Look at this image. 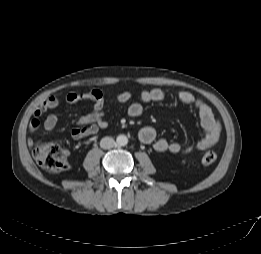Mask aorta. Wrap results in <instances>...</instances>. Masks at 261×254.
I'll return each mask as SVG.
<instances>
[{
    "instance_id": "1",
    "label": "aorta",
    "mask_w": 261,
    "mask_h": 254,
    "mask_svg": "<svg viewBox=\"0 0 261 254\" xmlns=\"http://www.w3.org/2000/svg\"><path fill=\"white\" fill-rule=\"evenodd\" d=\"M116 143L119 145V146H125L127 145L128 143V138L126 135H118L117 138H116Z\"/></svg>"
}]
</instances>
